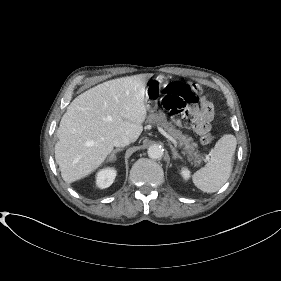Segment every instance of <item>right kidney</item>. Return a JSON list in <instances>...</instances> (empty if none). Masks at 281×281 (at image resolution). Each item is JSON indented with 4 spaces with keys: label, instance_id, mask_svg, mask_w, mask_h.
<instances>
[{
    "label": "right kidney",
    "instance_id": "right-kidney-1",
    "mask_svg": "<svg viewBox=\"0 0 281 281\" xmlns=\"http://www.w3.org/2000/svg\"><path fill=\"white\" fill-rule=\"evenodd\" d=\"M116 177V170L113 168H105L96 174V185L101 188H107L112 185Z\"/></svg>",
    "mask_w": 281,
    "mask_h": 281
}]
</instances>
